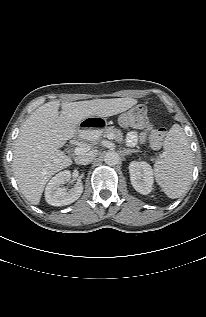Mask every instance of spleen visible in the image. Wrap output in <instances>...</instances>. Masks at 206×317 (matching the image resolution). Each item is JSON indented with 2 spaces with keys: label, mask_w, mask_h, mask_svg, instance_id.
Wrapping results in <instances>:
<instances>
[{
  "label": "spleen",
  "mask_w": 206,
  "mask_h": 317,
  "mask_svg": "<svg viewBox=\"0 0 206 317\" xmlns=\"http://www.w3.org/2000/svg\"><path fill=\"white\" fill-rule=\"evenodd\" d=\"M193 156L183 128L174 124L164 140V153L154 166V175L164 193L172 199L182 196L190 185Z\"/></svg>",
  "instance_id": "obj_1"
}]
</instances>
